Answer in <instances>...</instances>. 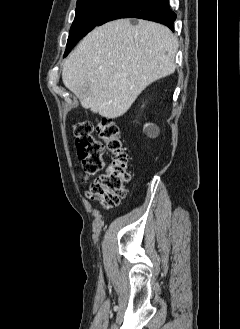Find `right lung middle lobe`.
Segmentation results:
<instances>
[{
	"mask_svg": "<svg viewBox=\"0 0 240 329\" xmlns=\"http://www.w3.org/2000/svg\"><path fill=\"white\" fill-rule=\"evenodd\" d=\"M120 0H78L64 57Z\"/></svg>",
	"mask_w": 240,
	"mask_h": 329,
	"instance_id": "obj_1",
	"label": "right lung middle lobe"
}]
</instances>
